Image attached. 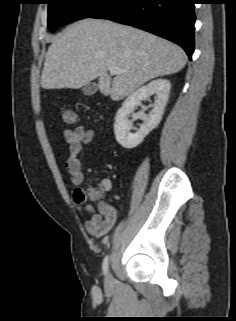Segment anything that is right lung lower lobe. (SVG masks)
Instances as JSON below:
<instances>
[{
	"label": "right lung lower lobe",
	"mask_w": 236,
	"mask_h": 321,
	"mask_svg": "<svg viewBox=\"0 0 236 321\" xmlns=\"http://www.w3.org/2000/svg\"><path fill=\"white\" fill-rule=\"evenodd\" d=\"M196 0H111L91 18L130 25L180 45L189 59L194 51Z\"/></svg>",
	"instance_id": "obj_1"
}]
</instances>
